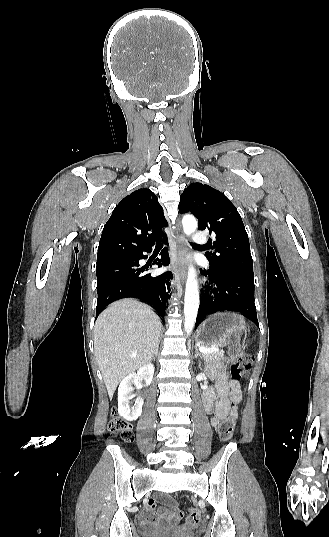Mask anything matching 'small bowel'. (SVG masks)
I'll list each match as a JSON object with an SVG mask.
<instances>
[{
  "label": "small bowel",
  "instance_id": "small-bowel-1",
  "mask_svg": "<svg viewBox=\"0 0 329 537\" xmlns=\"http://www.w3.org/2000/svg\"><path fill=\"white\" fill-rule=\"evenodd\" d=\"M211 375L216 379L215 388L208 389L204 393L203 402L205 410L212 414V425L218 427L229 417L237 416L236 404L240 400V384L238 380L228 378V372L221 364L211 369ZM215 394L219 396V400L214 405ZM159 500L166 506L155 511V499H149L145 506V519L151 523H160L164 528L178 525L182 517L180 509L173 504L169 496L160 497Z\"/></svg>",
  "mask_w": 329,
  "mask_h": 537
}]
</instances>
